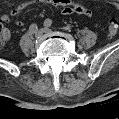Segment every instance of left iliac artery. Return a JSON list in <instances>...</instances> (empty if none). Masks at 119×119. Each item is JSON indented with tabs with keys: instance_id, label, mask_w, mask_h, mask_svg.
<instances>
[{
	"instance_id": "1",
	"label": "left iliac artery",
	"mask_w": 119,
	"mask_h": 119,
	"mask_svg": "<svg viewBox=\"0 0 119 119\" xmlns=\"http://www.w3.org/2000/svg\"><path fill=\"white\" fill-rule=\"evenodd\" d=\"M44 25H45L46 27H50V26L53 25V22H52L51 19H46V20L44 21ZM62 29L67 30V31H70V30H71V27L67 25V26H64Z\"/></svg>"
}]
</instances>
